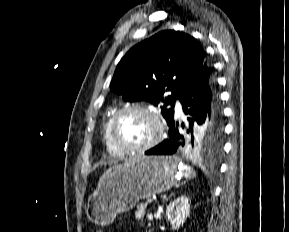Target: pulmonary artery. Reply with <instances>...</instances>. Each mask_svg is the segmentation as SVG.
Here are the masks:
<instances>
[{"mask_svg": "<svg viewBox=\"0 0 289 232\" xmlns=\"http://www.w3.org/2000/svg\"><path fill=\"white\" fill-rule=\"evenodd\" d=\"M176 111L180 114L182 112V107L179 101L176 102Z\"/></svg>", "mask_w": 289, "mask_h": 232, "instance_id": "pulmonary-artery-1", "label": "pulmonary artery"}]
</instances>
